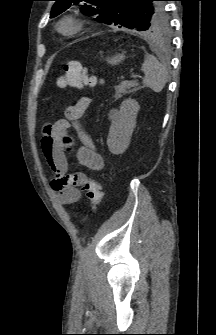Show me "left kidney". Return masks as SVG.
Returning a JSON list of instances; mask_svg holds the SVG:
<instances>
[{
	"mask_svg": "<svg viewBox=\"0 0 216 335\" xmlns=\"http://www.w3.org/2000/svg\"><path fill=\"white\" fill-rule=\"evenodd\" d=\"M139 109L140 106L134 99L128 98L122 102L119 113L111 123L107 138V146L112 154H123L128 148Z\"/></svg>",
	"mask_w": 216,
	"mask_h": 335,
	"instance_id": "obj_1",
	"label": "left kidney"
}]
</instances>
